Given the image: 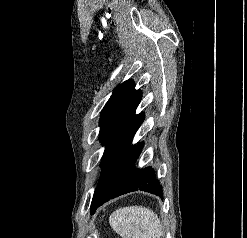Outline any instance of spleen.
Segmentation results:
<instances>
[{"label": "spleen", "mask_w": 247, "mask_h": 238, "mask_svg": "<svg viewBox=\"0 0 247 238\" xmlns=\"http://www.w3.org/2000/svg\"><path fill=\"white\" fill-rule=\"evenodd\" d=\"M109 223L122 238H160L163 235L157 214L142 206L117 209L110 215Z\"/></svg>", "instance_id": "3e777b00"}]
</instances>
